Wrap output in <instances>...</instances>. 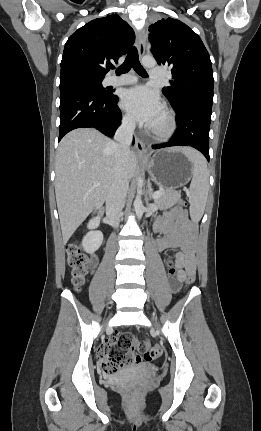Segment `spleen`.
Masks as SVG:
<instances>
[{
    "label": "spleen",
    "instance_id": "obj_1",
    "mask_svg": "<svg viewBox=\"0 0 261 431\" xmlns=\"http://www.w3.org/2000/svg\"><path fill=\"white\" fill-rule=\"evenodd\" d=\"M182 152L193 164V176L190 184V212L200 218L206 206L209 191V173L204 157L190 147L174 148Z\"/></svg>",
    "mask_w": 261,
    "mask_h": 431
}]
</instances>
